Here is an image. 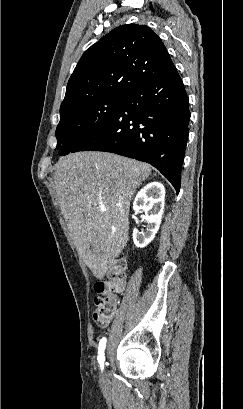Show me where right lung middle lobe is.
<instances>
[{
    "instance_id": "right-lung-middle-lobe-1",
    "label": "right lung middle lobe",
    "mask_w": 243,
    "mask_h": 409,
    "mask_svg": "<svg viewBox=\"0 0 243 409\" xmlns=\"http://www.w3.org/2000/svg\"><path fill=\"white\" fill-rule=\"evenodd\" d=\"M126 97H101L60 109L56 129L59 155L72 152L83 141L104 129L118 112Z\"/></svg>"
}]
</instances>
